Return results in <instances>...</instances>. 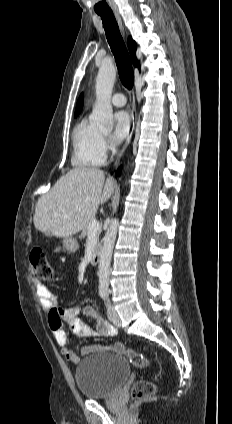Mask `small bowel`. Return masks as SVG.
Masks as SVG:
<instances>
[{
	"mask_svg": "<svg viewBox=\"0 0 232 424\" xmlns=\"http://www.w3.org/2000/svg\"><path fill=\"white\" fill-rule=\"evenodd\" d=\"M37 296L43 309L48 310V323L57 344L61 348L63 356L71 363H78L81 356L103 352L121 353L124 351V344L120 341L110 345H88L83 346L80 352L74 351L69 346L68 335L64 326L67 323L70 330L81 338L89 337H111L116 334V328L101 317L91 300H87L74 307H56L55 295L50 288L39 281H35ZM82 313L95 323V328L90 327L79 319Z\"/></svg>",
	"mask_w": 232,
	"mask_h": 424,
	"instance_id": "small-bowel-1",
	"label": "small bowel"
}]
</instances>
